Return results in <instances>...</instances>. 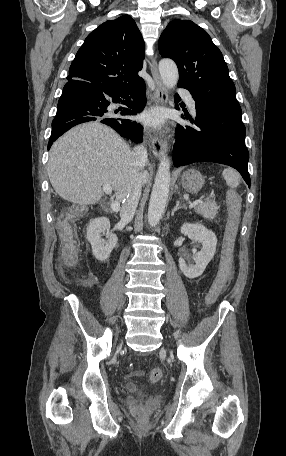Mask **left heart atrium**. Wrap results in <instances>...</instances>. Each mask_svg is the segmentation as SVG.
<instances>
[{
	"label": "left heart atrium",
	"instance_id": "39dd6f15",
	"mask_svg": "<svg viewBox=\"0 0 286 456\" xmlns=\"http://www.w3.org/2000/svg\"><path fill=\"white\" fill-rule=\"evenodd\" d=\"M143 120L151 126H160L164 121V113L159 109L151 110L144 114Z\"/></svg>",
	"mask_w": 286,
	"mask_h": 456
}]
</instances>
